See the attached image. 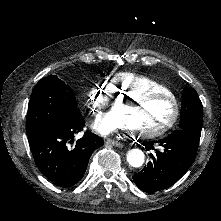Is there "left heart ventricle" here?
I'll return each mask as SVG.
<instances>
[{"mask_svg": "<svg viewBox=\"0 0 221 221\" xmlns=\"http://www.w3.org/2000/svg\"><path fill=\"white\" fill-rule=\"evenodd\" d=\"M173 116L174 109L170 104L149 98L145 103L140 104L137 116L132 124V129L164 125Z\"/></svg>", "mask_w": 221, "mask_h": 221, "instance_id": "b2bd125f", "label": "left heart ventricle"}]
</instances>
